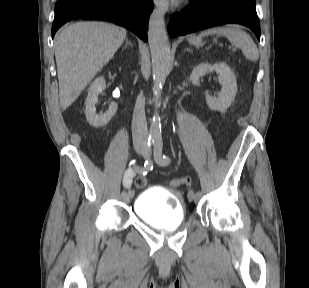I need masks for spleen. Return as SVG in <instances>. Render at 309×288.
<instances>
[{"label": "spleen", "mask_w": 309, "mask_h": 288, "mask_svg": "<svg viewBox=\"0 0 309 288\" xmlns=\"http://www.w3.org/2000/svg\"><path fill=\"white\" fill-rule=\"evenodd\" d=\"M208 35H221L228 38L232 45L239 47L245 58L249 61H256L259 58V51L251 37L244 31L233 26L215 27L202 31L199 37Z\"/></svg>", "instance_id": "3e777b00"}]
</instances>
